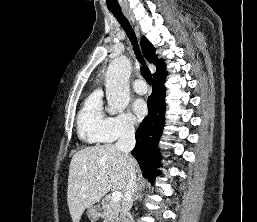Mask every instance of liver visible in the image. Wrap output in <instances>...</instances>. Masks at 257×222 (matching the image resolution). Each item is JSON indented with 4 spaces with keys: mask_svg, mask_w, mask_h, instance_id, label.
Instances as JSON below:
<instances>
[{
    "mask_svg": "<svg viewBox=\"0 0 257 222\" xmlns=\"http://www.w3.org/2000/svg\"><path fill=\"white\" fill-rule=\"evenodd\" d=\"M130 166L137 163L113 144L87 147L70 162L67 204L73 222H79L86 208L98 202L110 189L125 192Z\"/></svg>",
    "mask_w": 257,
    "mask_h": 222,
    "instance_id": "6515ba94",
    "label": "liver"
}]
</instances>
